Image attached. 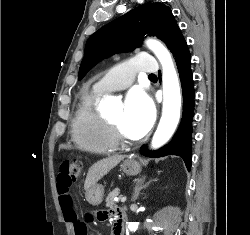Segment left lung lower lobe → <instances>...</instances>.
I'll list each match as a JSON object with an SVG mask.
<instances>
[{
  "mask_svg": "<svg viewBox=\"0 0 250 235\" xmlns=\"http://www.w3.org/2000/svg\"><path fill=\"white\" fill-rule=\"evenodd\" d=\"M171 52L175 57L178 72L181 80L183 93V116L180 126L173 136L171 142L161 149L149 152L146 146L141 148L143 155L157 158L167 155H177L182 157L187 169L191 168V139H192V119L194 116L195 91L193 87V75L191 71V57L187 43L181 33L175 37L171 47Z\"/></svg>",
  "mask_w": 250,
  "mask_h": 235,
  "instance_id": "1",
  "label": "left lung lower lobe"
}]
</instances>
